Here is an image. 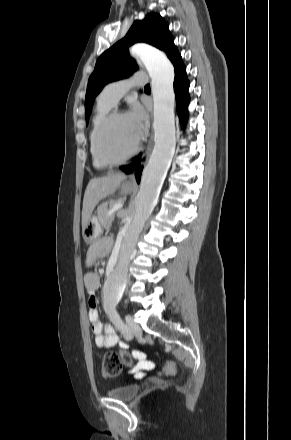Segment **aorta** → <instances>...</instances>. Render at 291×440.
<instances>
[{
  "label": "aorta",
  "mask_w": 291,
  "mask_h": 440,
  "mask_svg": "<svg viewBox=\"0 0 291 440\" xmlns=\"http://www.w3.org/2000/svg\"><path fill=\"white\" fill-rule=\"evenodd\" d=\"M130 54L140 59L151 77L155 145L142 173L134 213L116 242L114 263L104 284V299L112 303H117L124 293L129 256L156 205L176 148L174 67L164 53L145 44L134 45Z\"/></svg>",
  "instance_id": "aorta-1"
}]
</instances>
